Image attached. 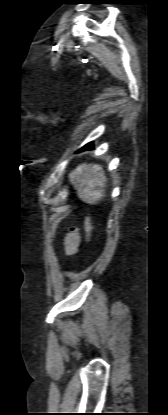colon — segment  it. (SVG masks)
Here are the masks:
<instances>
[{
    "mask_svg": "<svg viewBox=\"0 0 168 415\" xmlns=\"http://www.w3.org/2000/svg\"><path fill=\"white\" fill-rule=\"evenodd\" d=\"M85 228L87 232L88 241L91 242L93 237V224L90 216H87L85 219Z\"/></svg>",
    "mask_w": 168,
    "mask_h": 415,
    "instance_id": "5ec220e1",
    "label": "colon"
}]
</instances>
